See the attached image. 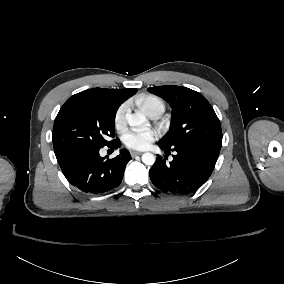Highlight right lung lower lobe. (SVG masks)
Here are the masks:
<instances>
[{
	"label": "right lung lower lobe",
	"mask_w": 284,
	"mask_h": 284,
	"mask_svg": "<svg viewBox=\"0 0 284 284\" xmlns=\"http://www.w3.org/2000/svg\"><path fill=\"white\" fill-rule=\"evenodd\" d=\"M107 146L117 149L121 142L117 139ZM101 148H77L56 155L67 180L84 193L97 195L113 191L120 185L126 164L131 159L126 149L115 158L106 159L107 156L99 155Z\"/></svg>",
	"instance_id": "1"
}]
</instances>
